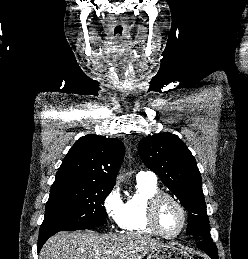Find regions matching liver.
Instances as JSON below:
<instances>
[{"instance_id": "1", "label": "liver", "mask_w": 248, "mask_h": 259, "mask_svg": "<svg viewBox=\"0 0 248 259\" xmlns=\"http://www.w3.org/2000/svg\"><path fill=\"white\" fill-rule=\"evenodd\" d=\"M165 246L137 233L98 234L93 231L59 232L42 247L39 259H142Z\"/></svg>"}]
</instances>
